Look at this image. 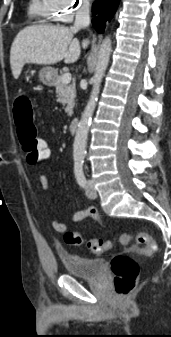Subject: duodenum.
<instances>
[{"label":"duodenum","mask_w":171,"mask_h":337,"mask_svg":"<svg viewBox=\"0 0 171 337\" xmlns=\"http://www.w3.org/2000/svg\"><path fill=\"white\" fill-rule=\"evenodd\" d=\"M79 128V121L77 119H73L68 126L69 132L74 134L77 132Z\"/></svg>","instance_id":"410a0bca"}]
</instances>
